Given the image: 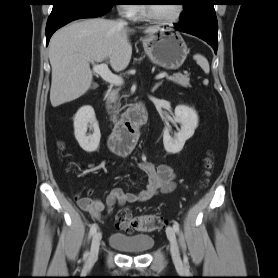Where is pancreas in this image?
I'll list each match as a JSON object with an SVG mask.
<instances>
[{"mask_svg":"<svg viewBox=\"0 0 278 278\" xmlns=\"http://www.w3.org/2000/svg\"><path fill=\"white\" fill-rule=\"evenodd\" d=\"M168 80L170 81H173L183 87H187L190 85V78H189V75L188 74H181V73H177V74H174L173 76H169L167 78ZM118 92H119V89H116V90H112L110 92L107 93V106L108 108H112L111 104H114L115 107L114 109L118 106L119 107V104H117V101L119 99V95H118ZM114 112H117V111H114Z\"/></svg>","mask_w":278,"mask_h":278,"instance_id":"obj_1","label":"pancreas"}]
</instances>
